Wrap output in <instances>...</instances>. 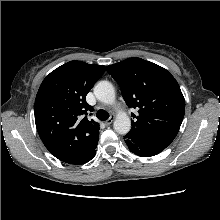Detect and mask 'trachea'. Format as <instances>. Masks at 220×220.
<instances>
[{"instance_id": "obj_1", "label": "trachea", "mask_w": 220, "mask_h": 220, "mask_svg": "<svg viewBox=\"0 0 220 220\" xmlns=\"http://www.w3.org/2000/svg\"><path fill=\"white\" fill-rule=\"evenodd\" d=\"M96 116L98 119L103 120V121L109 118V114L105 110H102V109L97 111Z\"/></svg>"}]
</instances>
